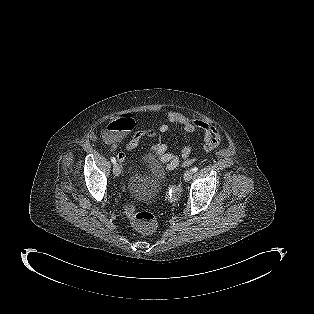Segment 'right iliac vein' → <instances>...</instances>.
<instances>
[{"instance_id": "obj_1", "label": "right iliac vein", "mask_w": 314, "mask_h": 314, "mask_svg": "<svg viewBox=\"0 0 314 314\" xmlns=\"http://www.w3.org/2000/svg\"><path fill=\"white\" fill-rule=\"evenodd\" d=\"M113 174L118 177L120 174H121V169H120V166L118 164H114V167H113Z\"/></svg>"}]
</instances>
